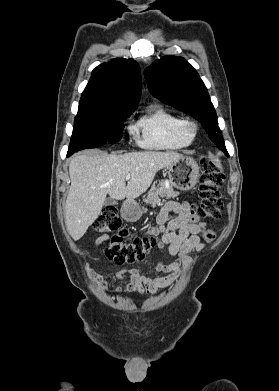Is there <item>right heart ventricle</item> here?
Here are the masks:
<instances>
[{
  "label": "right heart ventricle",
  "instance_id": "right-heart-ventricle-1",
  "mask_svg": "<svg viewBox=\"0 0 279 391\" xmlns=\"http://www.w3.org/2000/svg\"><path fill=\"white\" fill-rule=\"evenodd\" d=\"M183 118L160 105L150 106L132 129L140 147L149 150H180L191 141L181 132Z\"/></svg>",
  "mask_w": 279,
  "mask_h": 391
}]
</instances>
